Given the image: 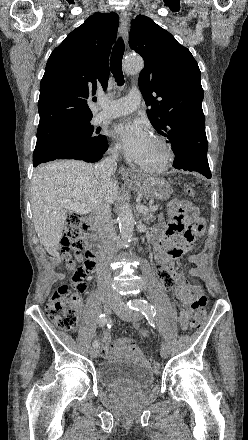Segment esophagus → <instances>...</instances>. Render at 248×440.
<instances>
[{
  "instance_id": "obj_1",
  "label": "esophagus",
  "mask_w": 248,
  "mask_h": 440,
  "mask_svg": "<svg viewBox=\"0 0 248 440\" xmlns=\"http://www.w3.org/2000/svg\"><path fill=\"white\" fill-rule=\"evenodd\" d=\"M128 25H129V16L126 11H122L120 13V30L122 33L123 41L125 45L128 42ZM121 176L125 180L133 179V173L126 167L122 166L119 170Z\"/></svg>"
}]
</instances>
